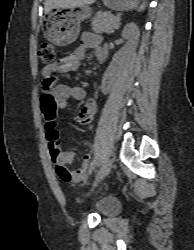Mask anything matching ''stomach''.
<instances>
[{"label":"stomach","mask_w":194,"mask_h":250,"mask_svg":"<svg viewBox=\"0 0 194 250\" xmlns=\"http://www.w3.org/2000/svg\"><path fill=\"white\" fill-rule=\"evenodd\" d=\"M104 4L117 11L132 9L139 0H103ZM91 9L88 6L80 9L52 8L46 13L44 37L57 46H67L73 43L80 32L81 22L90 18Z\"/></svg>","instance_id":"0dacf381"}]
</instances>
